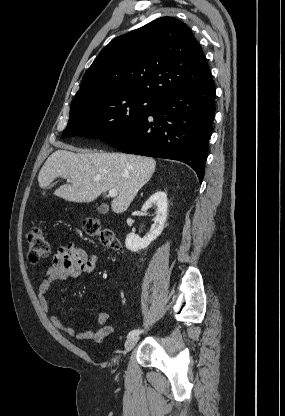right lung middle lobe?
Here are the masks:
<instances>
[{
  "label": "right lung middle lobe",
  "instance_id": "right-lung-middle-lobe-1",
  "mask_svg": "<svg viewBox=\"0 0 285 416\" xmlns=\"http://www.w3.org/2000/svg\"><path fill=\"white\" fill-rule=\"evenodd\" d=\"M157 103L142 97H123L70 110L62 138L85 136L105 139L131 127L144 118Z\"/></svg>",
  "mask_w": 285,
  "mask_h": 416
}]
</instances>
